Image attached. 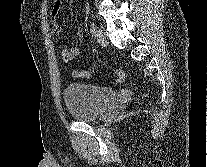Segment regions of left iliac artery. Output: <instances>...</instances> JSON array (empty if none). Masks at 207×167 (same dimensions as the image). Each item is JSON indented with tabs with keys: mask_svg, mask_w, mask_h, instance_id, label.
Instances as JSON below:
<instances>
[{
	"mask_svg": "<svg viewBox=\"0 0 207 167\" xmlns=\"http://www.w3.org/2000/svg\"><path fill=\"white\" fill-rule=\"evenodd\" d=\"M90 32H91L92 36L96 35L97 30H96V25L94 23H91Z\"/></svg>",
	"mask_w": 207,
	"mask_h": 167,
	"instance_id": "44dca946",
	"label": "left iliac artery"
}]
</instances>
